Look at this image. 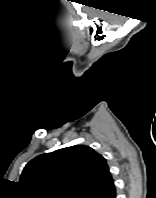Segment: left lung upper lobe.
<instances>
[{"instance_id":"5c2ea615","label":"left lung upper lobe","mask_w":156,"mask_h":198,"mask_svg":"<svg viewBox=\"0 0 156 198\" xmlns=\"http://www.w3.org/2000/svg\"><path fill=\"white\" fill-rule=\"evenodd\" d=\"M110 179L103 156L75 145L31 160L19 183L28 198H90Z\"/></svg>"}]
</instances>
